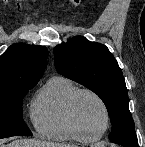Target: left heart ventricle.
Returning <instances> with one entry per match:
<instances>
[{
	"instance_id": "b2bd125f",
	"label": "left heart ventricle",
	"mask_w": 145,
	"mask_h": 147,
	"mask_svg": "<svg viewBox=\"0 0 145 147\" xmlns=\"http://www.w3.org/2000/svg\"><path fill=\"white\" fill-rule=\"evenodd\" d=\"M78 120L88 134H97L105 126V114L99 102L89 94H81L75 106Z\"/></svg>"
}]
</instances>
